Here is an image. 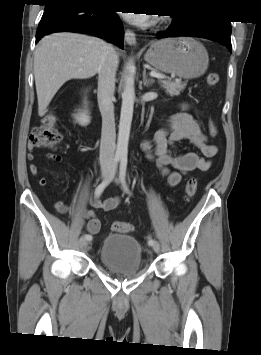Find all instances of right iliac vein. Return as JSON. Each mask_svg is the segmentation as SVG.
I'll return each instance as SVG.
<instances>
[{"label":"right iliac vein","instance_id":"63e3f726","mask_svg":"<svg viewBox=\"0 0 261 355\" xmlns=\"http://www.w3.org/2000/svg\"><path fill=\"white\" fill-rule=\"evenodd\" d=\"M110 174V170L109 169H103L102 170V177L103 178H107ZM80 245L84 248H88L90 245V241H86L84 238H81L79 241Z\"/></svg>","mask_w":261,"mask_h":355}]
</instances>
